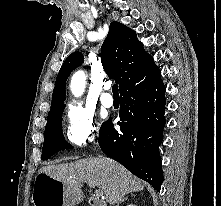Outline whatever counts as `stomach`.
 <instances>
[{"mask_svg": "<svg viewBox=\"0 0 221 206\" xmlns=\"http://www.w3.org/2000/svg\"><path fill=\"white\" fill-rule=\"evenodd\" d=\"M82 199L81 190L44 173L36 177L32 193L34 206H74Z\"/></svg>", "mask_w": 221, "mask_h": 206, "instance_id": "0dacf381", "label": "stomach"}]
</instances>
